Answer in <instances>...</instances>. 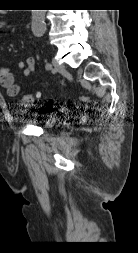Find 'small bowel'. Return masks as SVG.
Instances as JSON below:
<instances>
[{
  "instance_id": "1",
  "label": "small bowel",
  "mask_w": 138,
  "mask_h": 253,
  "mask_svg": "<svg viewBox=\"0 0 138 253\" xmlns=\"http://www.w3.org/2000/svg\"><path fill=\"white\" fill-rule=\"evenodd\" d=\"M15 69L22 70L23 75L28 77L35 69V58L30 56L25 61L17 62ZM0 84L9 97H15L21 91V86L16 82L15 75L10 67L0 65Z\"/></svg>"
}]
</instances>
